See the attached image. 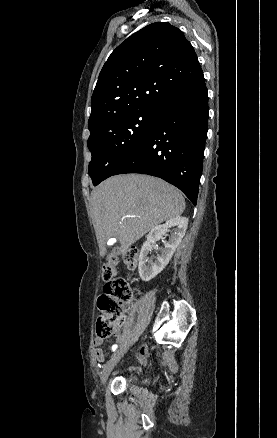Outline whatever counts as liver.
<instances>
[{"label":"liver","instance_id":"liver-1","mask_svg":"<svg viewBox=\"0 0 277 438\" xmlns=\"http://www.w3.org/2000/svg\"><path fill=\"white\" fill-rule=\"evenodd\" d=\"M185 200L174 186L160 178L142 174L112 176L91 192V214L100 256H106V242L117 238L119 254L152 228L181 216Z\"/></svg>","mask_w":277,"mask_h":438}]
</instances>
